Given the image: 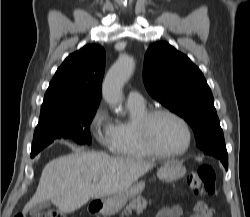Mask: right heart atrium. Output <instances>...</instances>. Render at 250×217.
<instances>
[{"label":"right heart atrium","mask_w":250,"mask_h":217,"mask_svg":"<svg viewBox=\"0 0 250 217\" xmlns=\"http://www.w3.org/2000/svg\"><path fill=\"white\" fill-rule=\"evenodd\" d=\"M89 130L100 146L112 150L115 139L114 123L104 105H99L94 110L89 121Z\"/></svg>","instance_id":"d8ad5b80"}]
</instances>
